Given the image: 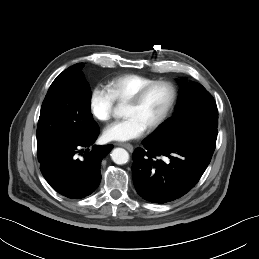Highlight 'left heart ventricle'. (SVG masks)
<instances>
[{
  "label": "left heart ventricle",
  "mask_w": 259,
  "mask_h": 259,
  "mask_svg": "<svg viewBox=\"0 0 259 259\" xmlns=\"http://www.w3.org/2000/svg\"><path fill=\"white\" fill-rule=\"evenodd\" d=\"M170 93L167 87L158 85L152 88L137 106L126 105L125 117H135L146 128L155 122L163 113Z\"/></svg>",
  "instance_id": "b2bd125f"
}]
</instances>
